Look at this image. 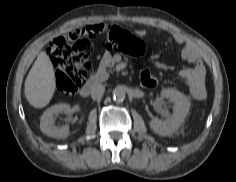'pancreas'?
Instances as JSON below:
<instances>
[{"label":"pancreas","mask_w":236,"mask_h":182,"mask_svg":"<svg viewBox=\"0 0 236 182\" xmlns=\"http://www.w3.org/2000/svg\"><path fill=\"white\" fill-rule=\"evenodd\" d=\"M106 65H108V66H113L114 65V62H113V60L112 59H107V62H106Z\"/></svg>","instance_id":"cf45deb5"}]
</instances>
